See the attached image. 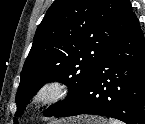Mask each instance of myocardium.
<instances>
[{
  "label": "myocardium",
  "instance_id": "1",
  "mask_svg": "<svg viewBox=\"0 0 145 124\" xmlns=\"http://www.w3.org/2000/svg\"><path fill=\"white\" fill-rule=\"evenodd\" d=\"M68 92V85L64 81L48 79L35 88L31 95V101L37 106H52L64 100Z\"/></svg>",
  "mask_w": 145,
  "mask_h": 124
}]
</instances>
